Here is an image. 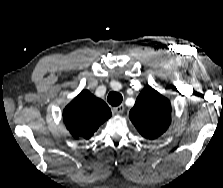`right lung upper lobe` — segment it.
<instances>
[{
    "instance_id": "right-lung-upper-lobe-1",
    "label": "right lung upper lobe",
    "mask_w": 223,
    "mask_h": 188,
    "mask_svg": "<svg viewBox=\"0 0 223 188\" xmlns=\"http://www.w3.org/2000/svg\"><path fill=\"white\" fill-rule=\"evenodd\" d=\"M111 117V110L100 98L84 89L64 109V123L75 139H89Z\"/></svg>"
}]
</instances>
